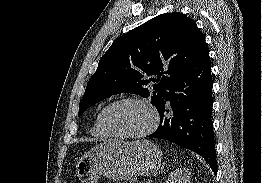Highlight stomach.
I'll return each mask as SVG.
<instances>
[{
	"instance_id": "0dacf381",
	"label": "stomach",
	"mask_w": 262,
	"mask_h": 183,
	"mask_svg": "<svg viewBox=\"0 0 262 183\" xmlns=\"http://www.w3.org/2000/svg\"><path fill=\"white\" fill-rule=\"evenodd\" d=\"M161 159V149L149 140L110 139L86 152L78 160L75 174L81 183H98L101 175L119 181L156 172Z\"/></svg>"
}]
</instances>
